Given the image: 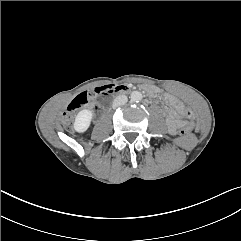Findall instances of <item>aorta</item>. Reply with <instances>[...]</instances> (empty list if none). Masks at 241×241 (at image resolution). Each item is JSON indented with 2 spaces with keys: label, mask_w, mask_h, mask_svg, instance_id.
I'll list each match as a JSON object with an SVG mask.
<instances>
[{
  "label": "aorta",
  "mask_w": 241,
  "mask_h": 241,
  "mask_svg": "<svg viewBox=\"0 0 241 241\" xmlns=\"http://www.w3.org/2000/svg\"><path fill=\"white\" fill-rule=\"evenodd\" d=\"M130 98L134 102H139L142 100V93L139 91H133L130 95Z\"/></svg>",
  "instance_id": "1"
}]
</instances>
